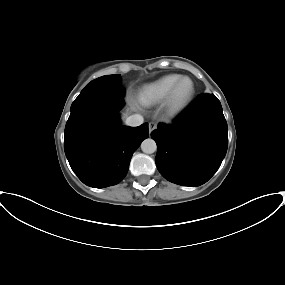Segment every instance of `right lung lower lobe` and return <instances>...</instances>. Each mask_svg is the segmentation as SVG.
<instances>
[{
	"label": "right lung lower lobe",
	"instance_id": "98d812e1",
	"mask_svg": "<svg viewBox=\"0 0 285 285\" xmlns=\"http://www.w3.org/2000/svg\"><path fill=\"white\" fill-rule=\"evenodd\" d=\"M122 94L110 92L86 98L66 123L64 150L69 164L86 185L104 188L126 176L133 153L149 136L148 123L122 126Z\"/></svg>",
	"mask_w": 285,
	"mask_h": 285
}]
</instances>
